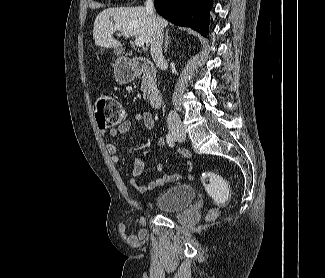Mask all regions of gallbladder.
<instances>
[{"mask_svg":"<svg viewBox=\"0 0 325 278\" xmlns=\"http://www.w3.org/2000/svg\"><path fill=\"white\" fill-rule=\"evenodd\" d=\"M124 53L121 48H118L115 50V54L118 56L120 54Z\"/></svg>","mask_w":325,"mask_h":278,"instance_id":"obj_1","label":"gallbladder"}]
</instances>
